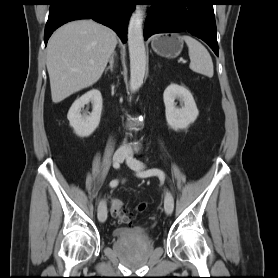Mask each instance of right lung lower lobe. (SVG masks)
I'll use <instances>...</instances> for the list:
<instances>
[{
	"label": "right lung lower lobe",
	"mask_w": 278,
	"mask_h": 278,
	"mask_svg": "<svg viewBox=\"0 0 278 278\" xmlns=\"http://www.w3.org/2000/svg\"><path fill=\"white\" fill-rule=\"evenodd\" d=\"M134 0H52L45 27V45L54 30L77 19H93L115 30L126 42L127 25Z\"/></svg>",
	"instance_id": "right-lung-lower-lobe-1"
}]
</instances>
